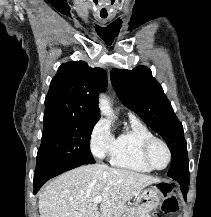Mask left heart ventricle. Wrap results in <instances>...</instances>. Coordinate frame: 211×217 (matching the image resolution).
Wrapping results in <instances>:
<instances>
[{
    "label": "left heart ventricle",
    "instance_id": "b2bd125f",
    "mask_svg": "<svg viewBox=\"0 0 211 217\" xmlns=\"http://www.w3.org/2000/svg\"><path fill=\"white\" fill-rule=\"evenodd\" d=\"M151 161L157 167H164L168 161V153L162 144H155L150 153Z\"/></svg>",
    "mask_w": 211,
    "mask_h": 217
}]
</instances>
